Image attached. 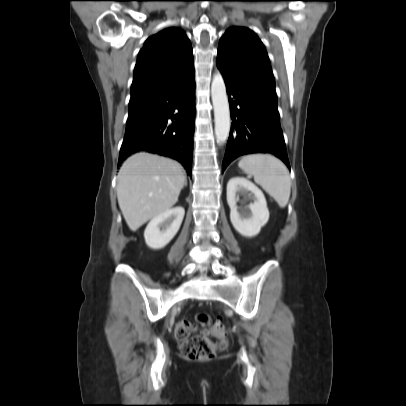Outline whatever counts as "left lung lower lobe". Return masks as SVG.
<instances>
[{
	"label": "left lung lower lobe",
	"instance_id": "obj_1",
	"mask_svg": "<svg viewBox=\"0 0 406 406\" xmlns=\"http://www.w3.org/2000/svg\"><path fill=\"white\" fill-rule=\"evenodd\" d=\"M230 101L232 123L222 171L235 158L271 153L290 168L280 127L275 86L217 59Z\"/></svg>",
	"mask_w": 406,
	"mask_h": 406
}]
</instances>
